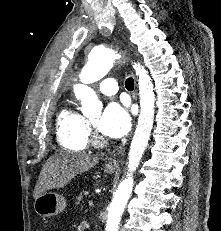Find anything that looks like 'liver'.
<instances>
[{
	"instance_id": "6515ba94",
	"label": "liver",
	"mask_w": 221,
	"mask_h": 231,
	"mask_svg": "<svg viewBox=\"0 0 221 231\" xmlns=\"http://www.w3.org/2000/svg\"><path fill=\"white\" fill-rule=\"evenodd\" d=\"M97 156L59 152L50 157L44 164L36 183L33 197L36 199L51 189L67 185L77 174L98 164Z\"/></svg>"
}]
</instances>
